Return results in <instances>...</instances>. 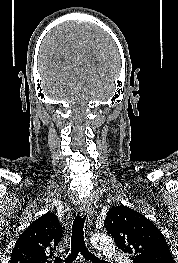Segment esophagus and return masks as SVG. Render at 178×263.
<instances>
[{"mask_svg":"<svg viewBox=\"0 0 178 263\" xmlns=\"http://www.w3.org/2000/svg\"><path fill=\"white\" fill-rule=\"evenodd\" d=\"M80 213L82 216L87 215L88 223H90L92 221L93 210H92L91 204L88 201L82 202V204L80 206Z\"/></svg>","mask_w":178,"mask_h":263,"instance_id":"34e87169","label":"esophagus"}]
</instances>
